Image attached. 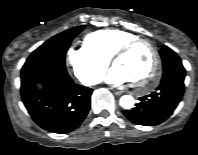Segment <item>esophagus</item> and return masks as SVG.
I'll use <instances>...</instances> for the list:
<instances>
[{
    "mask_svg": "<svg viewBox=\"0 0 198 155\" xmlns=\"http://www.w3.org/2000/svg\"><path fill=\"white\" fill-rule=\"evenodd\" d=\"M114 94L119 96V95L122 94V92L121 91H115Z\"/></svg>",
    "mask_w": 198,
    "mask_h": 155,
    "instance_id": "obj_1",
    "label": "esophagus"
}]
</instances>
